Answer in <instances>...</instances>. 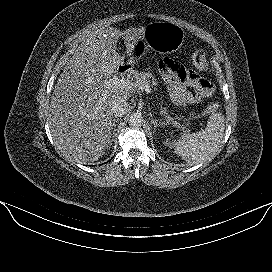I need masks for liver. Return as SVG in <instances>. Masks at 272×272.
Wrapping results in <instances>:
<instances>
[{
    "label": "liver",
    "instance_id": "1",
    "mask_svg": "<svg viewBox=\"0 0 272 272\" xmlns=\"http://www.w3.org/2000/svg\"><path fill=\"white\" fill-rule=\"evenodd\" d=\"M145 29L106 27L92 31L64 67L50 102L53 139L64 154L81 163L96 161L105 154L113 130L112 104L130 96L128 89L105 85L125 64V58L116 51L117 42L122 37L126 63L131 65Z\"/></svg>",
    "mask_w": 272,
    "mask_h": 272
}]
</instances>
